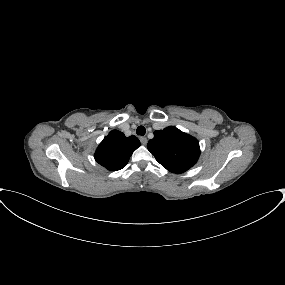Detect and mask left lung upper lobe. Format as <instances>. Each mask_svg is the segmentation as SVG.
Segmentation results:
<instances>
[{"label":"left lung upper lobe","mask_w":285,"mask_h":285,"mask_svg":"<svg viewBox=\"0 0 285 285\" xmlns=\"http://www.w3.org/2000/svg\"><path fill=\"white\" fill-rule=\"evenodd\" d=\"M147 147L157 162L173 173L187 171L200 155L197 139L173 126L155 131Z\"/></svg>","instance_id":"obj_1"}]
</instances>
